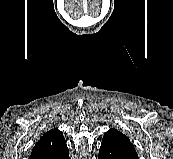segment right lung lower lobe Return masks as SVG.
<instances>
[{
	"mask_svg": "<svg viewBox=\"0 0 173 159\" xmlns=\"http://www.w3.org/2000/svg\"><path fill=\"white\" fill-rule=\"evenodd\" d=\"M52 159H69V151H68V149L65 150L64 152L60 153L59 155H56Z\"/></svg>",
	"mask_w": 173,
	"mask_h": 159,
	"instance_id": "right-lung-lower-lobe-1",
	"label": "right lung lower lobe"
}]
</instances>
